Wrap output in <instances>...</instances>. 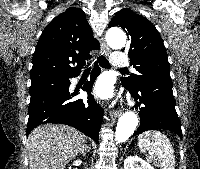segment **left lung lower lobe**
Segmentation results:
<instances>
[{
	"mask_svg": "<svg viewBox=\"0 0 200 169\" xmlns=\"http://www.w3.org/2000/svg\"><path fill=\"white\" fill-rule=\"evenodd\" d=\"M128 90L135 100L140 101L136 108H139L141 122L134 135L147 130L166 129L182 139L181 123L175 110L172 88L146 84L136 90Z\"/></svg>",
	"mask_w": 200,
	"mask_h": 169,
	"instance_id": "1",
	"label": "left lung lower lobe"
}]
</instances>
